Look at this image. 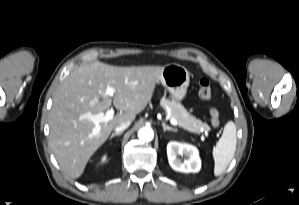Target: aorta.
<instances>
[{
  "instance_id": "1",
  "label": "aorta",
  "mask_w": 299,
  "mask_h": 205,
  "mask_svg": "<svg viewBox=\"0 0 299 205\" xmlns=\"http://www.w3.org/2000/svg\"><path fill=\"white\" fill-rule=\"evenodd\" d=\"M138 137L142 141H151L154 138V132L149 127H143L138 131Z\"/></svg>"
}]
</instances>
